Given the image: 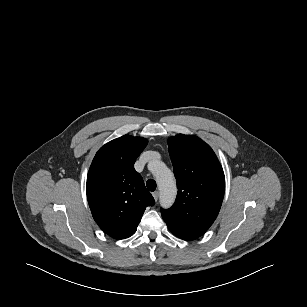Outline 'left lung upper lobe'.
<instances>
[{
  "instance_id": "left-lung-upper-lobe-1",
  "label": "left lung upper lobe",
  "mask_w": 307,
  "mask_h": 307,
  "mask_svg": "<svg viewBox=\"0 0 307 307\" xmlns=\"http://www.w3.org/2000/svg\"><path fill=\"white\" fill-rule=\"evenodd\" d=\"M177 181L174 205L161 209L169 230L184 240L204 234L216 219L225 190L223 169L211 147L195 135L168 139Z\"/></svg>"
}]
</instances>
